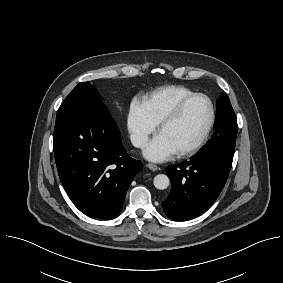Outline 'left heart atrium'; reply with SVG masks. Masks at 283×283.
<instances>
[{
    "label": "left heart atrium",
    "instance_id": "obj_1",
    "mask_svg": "<svg viewBox=\"0 0 283 283\" xmlns=\"http://www.w3.org/2000/svg\"><path fill=\"white\" fill-rule=\"evenodd\" d=\"M143 154L150 161L163 162L171 159L177 151L162 134H158L146 144Z\"/></svg>",
    "mask_w": 283,
    "mask_h": 283
}]
</instances>
